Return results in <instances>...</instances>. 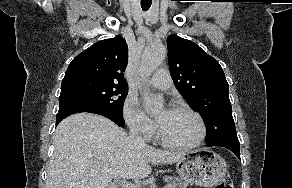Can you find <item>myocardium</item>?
Listing matches in <instances>:
<instances>
[{"instance_id":"1","label":"myocardium","mask_w":292,"mask_h":188,"mask_svg":"<svg viewBox=\"0 0 292 188\" xmlns=\"http://www.w3.org/2000/svg\"><path fill=\"white\" fill-rule=\"evenodd\" d=\"M170 110H177V111H185L188 112L190 114H192L198 121L199 126H200V133L198 135V137L190 143L187 144H179V143H174L168 139H166L160 132L158 125L156 124L155 126V135H156V139L165 147L171 148V149H181V150H186V149H192L195 148L197 146H199L205 139L207 136V125L206 122L203 118V116L196 111L195 109H193L192 107L186 105V104H182V103H177V104H173L170 107Z\"/></svg>"}]
</instances>
